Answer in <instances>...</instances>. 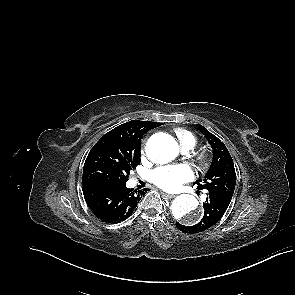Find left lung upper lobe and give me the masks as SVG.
<instances>
[{"label":"left lung upper lobe","mask_w":295,"mask_h":295,"mask_svg":"<svg viewBox=\"0 0 295 295\" xmlns=\"http://www.w3.org/2000/svg\"><path fill=\"white\" fill-rule=\"evenodd\" d=\"M201 133L210 143L213 149V163L203 180H198L197 189H206L208 194L233 196L236 174L230 153L225 144L205 127L199 125Z\"/></svg>","instance_id":"1"}]
</instances>
